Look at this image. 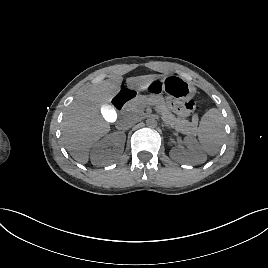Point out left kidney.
Returning <instances> with one entry per match:
<instances>
[{"label": "left kidney", "instance_id": "obj_1", "mask_svg": "<svg viewBox=\"0 0 268 268\" xmlns=\"http://www.w3.org/2000/svg\"><path fill=\"white\" fill-rule=\"evenodd\" d=\"M187 149L183 147H173L170 151V157L182 163L201 164L207 157L201 150L197 140L191 136L184 138L183 142Z\"/></svg>", "mask_w": 268, "mask_h": 268}]
</instances>
